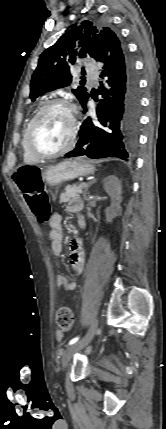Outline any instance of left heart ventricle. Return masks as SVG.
<instances>
[{"label":"left heart ventricle","instance_id":"obj_1","mask_svg":"<svg viewBox=\"0 0 166 429\" xmlns=\"http://www.w3.org/2000/svg\"><path fill=\"white\" fill-rule=\"evenodd\" d=\"M70 126L68 110L63 106L52 107L38 122L33 135V146L45 154L58 151L68 142Z\"/></svg>","mask_w":166,"mask_h":429}]
</instances>
